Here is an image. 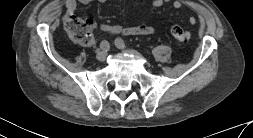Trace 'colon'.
<instances>
[{"label": "colon", "mask_w": 253, "mask_h": 138, "mask_svg": "<svg viewBox=\"0 0 253 138\" xmlns=\"http://www.w3.org/2000/svg\"><path fill=\"white\" fill-rule=\"evenodd\" d=\"M68 37L75 43L90 45L93 42V25L91 22L76 16H67L64 20ZM171 34L176 41L186 43L190 34L179 25L171 27Z\"/></svg>", "instance_id": "1"}]
</instances>
